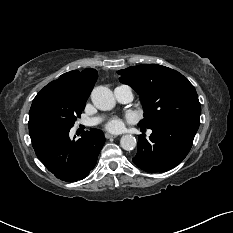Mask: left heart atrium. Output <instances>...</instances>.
Wrapping results in <instances>:
<instances>
[{
	"label": "left heart atrium",
	"instance_id": "obj_1",
	"mask_svg": "<svg viewBox=\"0 0 233 233\" xmlns=\"http://www.w3.org/2000/svg\"><path fill=\"white\" fill-rule=\"evenodd\" d=\"M122 127H123V123L118 118H113L106 124V128L108 130L115 131V132L120 131Z\"/></svg>",
	"mask_w": 233,
	"mask_h": 233
}]
</instances>
